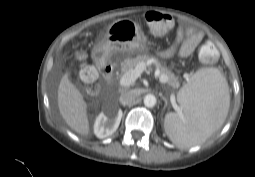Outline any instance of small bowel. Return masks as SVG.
Segmentation results:
<instances>
[{
  "label": "small bowel",
  "instance_id": "obj_1",
  "mask_svg": "<svg viewBox=\"0 0 255 177\" xmlns=\"http://www.w3.org/2000/svg\"><path fill=\"white\" fill-rule=\"evenodd\" d=\"M204 38L202 31L191 28L179 27L172 45L161 51L160 55L169 58L177 54L180 57H188Z\"/></svg>",
  "mask_w": 255,
  "mask_h": 177
}]
</instances>
